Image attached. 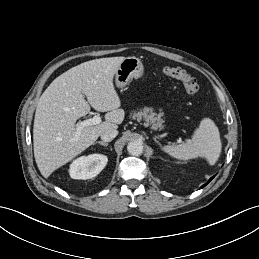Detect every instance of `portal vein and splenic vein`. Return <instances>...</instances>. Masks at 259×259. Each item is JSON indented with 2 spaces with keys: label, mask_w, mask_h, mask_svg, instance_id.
<instances>
[{
  "label": "portal vein and splenic vein",
  "mask_w": 259,
  "mask_h": 259,
  "mask_svg": "<svg viewBox=\"0 0 259 259\" xmlns=\"http://www.w3.org/2000/svg\"><path fill=\"white\" fill-rule=\"evenodd\" d=\"M100 122H101V117L99 115H95L93 118L86 119V120L78 123L77 129H76V134H75V140H78V138L80 136V133H81V130L84 127L97 125V124H100Z\"/></svg>",
  "instance_id": "18ae733b"
}]
</instances>
